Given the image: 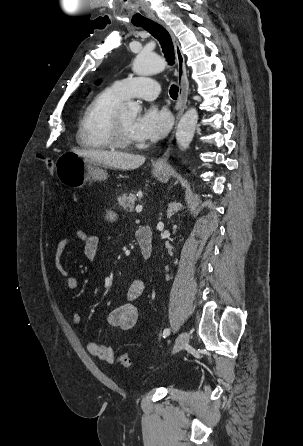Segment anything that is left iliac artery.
<instances>
[{"instance_id": "44dca946", "label": "left iliac artery", "mask_w": 303, "mask_h": 446, "mask_svg": "<svg viewBox=\"0 0 303 446\" xmlns=\"http://www.w3.org/2000/svg\"><path fill=\"white\" fill-rule=\"evenodd\" d=\"M170 334V329L169 328H166L164 331H163V337L165 338V337H167L168 335Z\"/></svg>"}]
</instances>
